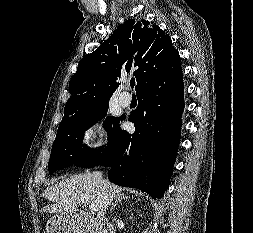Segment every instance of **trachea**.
<instances>
[{
	"label": "trachea",
	"instance_id": "trachea-1",
	"mask_svg": "<svg viewBox=\"0 0 253 233\" xmlns=\"http://www.w3.org/2000/svg\"><path fill=\"white\" fill-rule=\"evenodd\" d=\"M130 86H131V88H133L135 86V81L134 80L130 81Z\"/></svg>",
	"mask_w": 253,
	"mask_h": 233
}]
</instances>
